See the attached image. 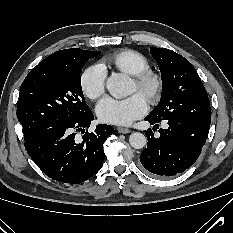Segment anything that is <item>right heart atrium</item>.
I'll list each match as a JSON object with an SVG mask.
<instances>
[{"label": "right heart atrium", "instance_id": "1", "mask_svg": "<svg viewBox=\"0 0 233 233\" xmlns=\"http://www.w3.org/2000/svg\"><path fill=\"white\" fill-rule=\"evenodd\" d=\"M106 71L100 65H91L87 67L81 74L80 87L90 99H97L105 92L106 87Z\"/></svg>", "mask_w": 233, "mask_h": 233}]
</instances>
